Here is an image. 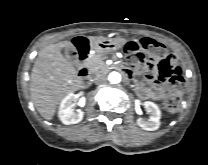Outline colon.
<instances>
[{
	"label": "colon",
	"mask_w": 208,
	"mask_h": 165,
	"mask_svg": "<svg viewBox=\"0 0 208 165\" xmlns=\"http://www.w3.org/2000/svg\"><path fill=\"white\" fill-rule=\"evenodd\" d=\"M77 45L80 51L84 50L85 45L83 42H79ZM124 49L127 58L136 66L145 64L147 57L150 55L154 56L159 62V60L167 53L166 48L161 43L148 38L142 39L141 41H129L125 44ZM164 106L169 112L177 111L180 106L179 95H174L169 98Z\"/></svg>",
	"instance_id": "colon-1"
}]
</instances>
